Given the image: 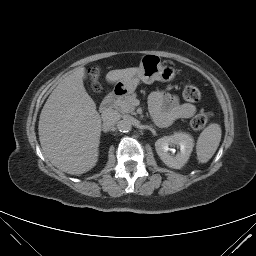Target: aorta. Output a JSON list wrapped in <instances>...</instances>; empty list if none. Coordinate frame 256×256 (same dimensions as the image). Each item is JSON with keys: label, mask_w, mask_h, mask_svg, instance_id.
Instances as JSON below:
<instances>
[{"label": "aorta", "mask_w": 256, "mask_h": 256, "mask_svg": "<svg viewBox=\"0 0 256 256\" xmlns=\"http://www.w3.org/2000/svg\"><path fill=\"white\" fill-rule=\"evenodd\" d=\"M121 132H129L132 128V123L129 120H121L117 125Z\"/></svg>", "instance_id": "762f6f07"}]
</instances>
